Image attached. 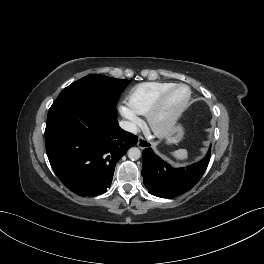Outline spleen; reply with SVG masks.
<instances>
[{
  "mask_svg": "<svg viewBox=\"0 0 264 264\" xmlns=\"http://www.w3.org/2000/svg\"><path fill=\"white\" fill-rule=\"evenodd\" d=\"M172 155L178 160H185L188 158V152L186 149H179L172 153Z\"/></svg>",
  "mask_w": 264,
  "mask_h": 264,
  "instance_id": "spleen-1",
  "label": "spleen"
}]
</instances>
